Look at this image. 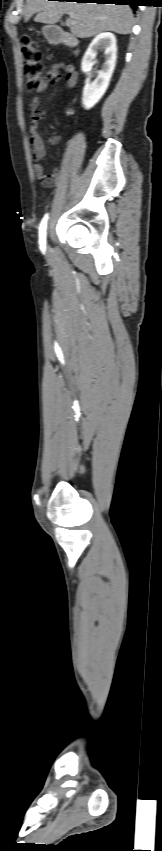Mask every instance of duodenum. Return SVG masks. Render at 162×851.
Wrapping results in <instances>:
<instances>
[{
    "label": "duodenum",
    "mask_w": 162,
    "mask_h": 851,
    "mask_svg": "<svg viewBox=\"0 0 162 851\" xmlns=\"http://www.w3.org/2000/svg\"><path fill=\"white\" fill-rule=\"evenodd\" d=\"M50 38L54 43L63 42V43H66L67 45L72 46V47L77 46V42L74 38L67 36V35H64V34L58 32V31H53L50 35Z\"/></svg>",
    "instance_id": "obj_1"
}]
</instances>
